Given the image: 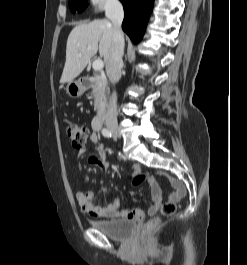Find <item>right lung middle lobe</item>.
Returning a JSON list of instances; mask_svg holds the SVG:
<instances>
[{
	"label": "right lung middle lobe",
	"mask_w": 247,
	"mask_h": 265,
	"mask_svg": "<svg viewBox=\"0 0 247 265\" xmlns=\"http://www.w3.org/2000/svg\"><path fill=\"white\" fill-rule=\"evenodd\" d=\"M86 0H69V6L73 13L78 10V12H82L86 7L87 4L85 3Z\"/></svg>",
	"instance_id": "dd1d6c3e"
}]
</instances>
